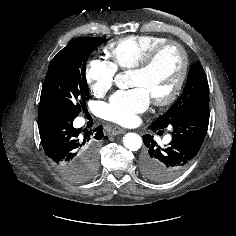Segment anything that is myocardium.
<instances>
[{"label":"myocardium","instance_id":"myocardium-1","mask_svg":"<svg viewBox=\"0 0 236 236\" xmlns=\"http://www.w3.org/2000/svg\"><path fill=\"white\" fill-rule=\"evenodd\" d=\"M169 47H175L180 52L182 63L178 77L171 91L164 97L153 98V102L157 106H168L172 104L177 99L180 91L183 88V85L188 75L189 68V59L185 48L177 41L168 40L151 49L143 58V60L134 67V71L137 72L148 71L153 66L158 56Z\"/></svg>","mask_w":236,"mask_h":236}]
</instances>
